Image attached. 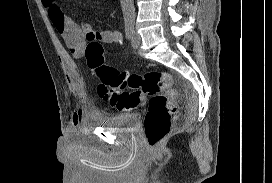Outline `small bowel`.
I'll return each mask as SVG.
<instances>
[{
  "label": "small bowel",
  "instance_id": "c3829d8e",
  "mask_svg": "<svg viewBox=\"0 0 272 183\" xmlns=\"http://www.w3.org/2000/svg\"><path fill=\"white\" fill-rule=\"evenodd\" d=\"M54 27L61 34L69 51L75 58H81L88 42L113 45L121 41V33L116 30H95L89 23H76L67 16L58 0H41ZM81 118V116H80Z\"/></svg>",
  "mask_w": 272,
  "mask_h": 183
}]
</instances>
